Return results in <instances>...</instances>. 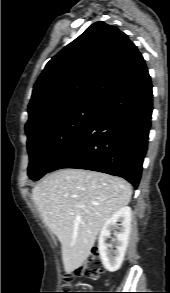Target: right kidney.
Returning a JSON list of instances; mask_svg holds the SVG:
<instances>
[{
  "mask_svg": "<svg viewBox=\"0 0 170 293\" xmlns=\"http://www.w3.org/2000/svg\"><path fill=\"white\" fill-rule=\"evenodd\" d=\"M131 217V208L124 206L105 221L100 231L98 250L102 264L110 272L117 271L124 260L131 230ZM116 229L118 231H116ZM112 230L115 231V250H113L112 246L106 243Z\"/></svg>",
  "mask_w": 170,
  "mask_h": 293,
  "instance_id": "ca27d5eb",
  "label": "right kidney"
}]
</instances>
